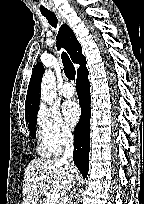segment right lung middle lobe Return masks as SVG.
Listing matches in <instances>:
<instances>
[{
  "label": "right lung middle lobe",
  "mask_w": 144,
  "mask_h": 204,
  "mask_svg": "<svg viewBox=\"0 0 144 204\" xmlns=\"http://www.w3.org/2000/svg\"><path fill=\"white\" fill-rule=\"evenodd\" d=\"M36 116L37 114H35L34 116L30 117V118H27L26 119V122H28V128H29V131H30V134L32 136V138H35L36 137Z\"/></svg>",
  "instance_id": "right-lung-middle-lobe-1"
}]
</instances>
